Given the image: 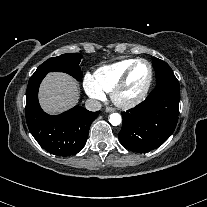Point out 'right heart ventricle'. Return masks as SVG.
Listing matches in <instances>:
<instances>
[{
    "mask_svg": "<svg viewBox=\"0 0 207 207\" xmlns=\"http://www.w3.org/2000/svg\"><path fill=\"white\" fill-rule=\"evenodd\" d=\"M135 59H123L115 63L99 67L92 79L103 92H110L116 82Z\"/></svg>",
    "mask_w": 207,
    "mask_h": 207,
    "instance_id": "obj_1",
    "label": "right heart ventricle"
}]
</instances>
